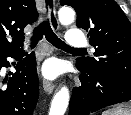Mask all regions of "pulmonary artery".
<instances>
[{"label":"pulmonary artery","mask_w":131,"mask_h":115,"mask_svg":"<svg viewBox=\"0 0 131 115\" xmlns=\"http://www.w3.org/2000/svg\"><path fill=\"white\" fill-rule=\"evenodd\" d=\"M66 44L70 47H83L87 44V40L79 29H70L67 34Z\"/></svg>","instance_id":"1"}]
</instances>
